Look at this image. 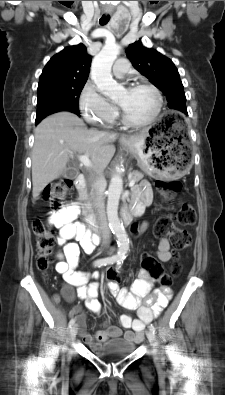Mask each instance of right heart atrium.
<instances>
[{"instance_id":"obj_1","label":"right heart atrium","mask_w":225,"mask_h":395,"mask_svg":"<svg viewBox=\"0 0 225 395\" xmlns=\"http://www.w3.org/2000/svg\"><path fill=\"white\" fill-rule=\"evenodd\" d=\"M79 107L85 121L93 126H108L117 116L115 108L99 93L92 82L84 85Z\"/></svg>"}]
</instances>
